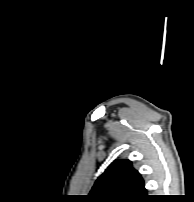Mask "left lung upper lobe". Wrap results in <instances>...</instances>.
<instances>
[{
    "label": "left lung upper lobe",
    "mask_w": 194,
    "mask_h": 202,
    "mask_svg": "<svg viewBox=\"0 0 194 202\" xmlns=\"http://www.w3.org/2000/svg\"><path fill=\"white\" fill-rule=\"evenodd\" d=\"M89 198L93 202H141L148 198L141 175L129 160L115 161L97 179Z\"/></svg>",
    "instance_id": "left-lung-upper-lobe-1"
}]
</instances>
